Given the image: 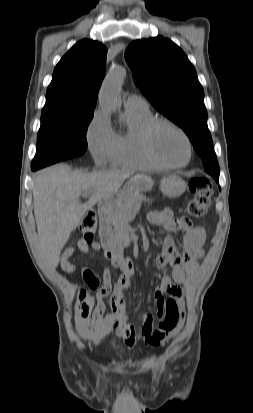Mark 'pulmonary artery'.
I'll return each mask as SVG.
<instances>
[{
    "label": "pulmonary artery",
    "instance_id": "e3ab8cb5",
    "mask_svg": "<svg viewBox=\"0 0 253 413\" xmlns=\"http://www.w3.org/2000/svg\"><path fill=\"white\" fill-rule=\"evenodd\" d=\"M126 109L146 110L148 109L147 102L137 95H130L125 101Z\"/></svg>",
    "mask_w": 253,
    "mask_h": 413
}]
</instances>
